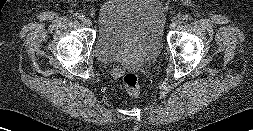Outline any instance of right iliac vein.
Listing matches in <instances>:
<instances>
[{"instance_id": "right-iliac-vein-1", "label": "right iliac vein", "mask_w": 253, "mask_h": 131, "mask_svg": "<svg viewBox=\"0 0 253 131\" xmlns=\"http://www.w3.org/2000/svg\"><path fill=\"white\" fill-rule=\"evenodd\" d=\"M82 20H83L85 25H87V26L92 25V20L89 17H84Z\"/></svg>"}]
</instances>
